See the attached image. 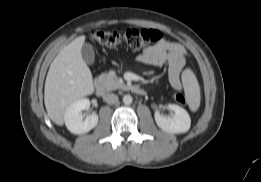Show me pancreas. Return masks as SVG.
<instances>
[{"label": "pancreas", "mask_w": 261, "mask_h": 182, "mask_svg": "<svg viewBox=\"0 0 261 182\" xmlns=\"http://www.w3.org/2000/svg\"><path fill=\"white\" fill-rule=\"evenodd\" d=\"M100 82L108 91L123 89L126 90L127 86L121 78H118L115 73H102L100 75Z\"/></svg>", "instance_id": "obj_1"}]
</instances>
